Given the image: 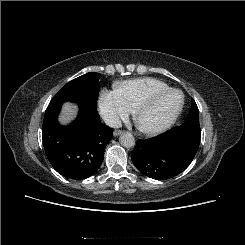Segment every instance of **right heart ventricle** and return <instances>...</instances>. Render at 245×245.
Segmentation results:
<instances>
[{"instance_id": "right-heart-ventricle-1", "label": "right heart ventricle", "mask_w": 245, "mask_h": 245, "mask_svg": "<svg viewBox=\"0 0 245 245\" xmlns=\"http://www.w3.org/2000/svg\"><path fill=\"white\" fill-rule=\"evenodd\" d=\"M169 88L167 83L149 77L126 80L115 84V91L130 108H133L144 97Z\"/></svg>"}]
</instances>
